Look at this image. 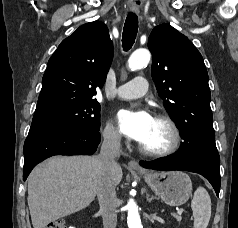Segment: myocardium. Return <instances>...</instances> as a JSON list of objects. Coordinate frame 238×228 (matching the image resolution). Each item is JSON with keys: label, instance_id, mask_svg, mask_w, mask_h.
<instances>
[{"label": "myocardium", "instance_id": "1", "mask_svg": "<svg viewBox=\"0 0 238 228\" xmlns=\"http://www.w3.org/2000/svg\"><path fill=\"white\" fill-rule=\"evenodd\" d=\"M155 120L161 121L163 123H165L171 133V142L170 144L160 150H151L148 149L144 146H142L140 143L138 144V149L139 151L148 157H154V158H160V157H166L169 155H172L173 153H175L179 146H180V142H181V134H180V130L177 126V124L175 123V121L168 115L163 114V113H158L155 115L154 117Z\"/></svg>", "mask_w": 238, "mask_h": 228}]
</instances>
